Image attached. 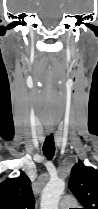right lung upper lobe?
Returning a JSON list of instances; mask_svg holds the SVG:
<instances>
[{"label":"right lung upper lobe","instance_id":"1","mask_svg":"<svg viewBox=\"0 0 98 209\" xmlns=\"http://www.w3.org/2000/svg\"><path fill=\"white\" fill-rule=\"evenodd\" d=\"M31 181L24 172L0 183V209H34Z\"/></svg>","mask_w":98,"mask_h":209}]
</instances>
